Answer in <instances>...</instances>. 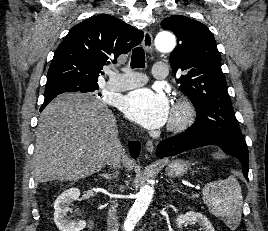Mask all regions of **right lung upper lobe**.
<instances>
[{
  "instance_id": "obj_1",
  "label": "right lung upper lobe",
  "mask_w": 268,
  "mask_h": 231,
  "mask_svg": "<svg viewBox=\"0 0 268 231\" xmlns=\"http://www.w3.org/2000/svg\"><path fill=\"white\" fill-rule=\"evenodd\" d=\"M143 39V32L121 19L102 14L72 27L54 53L47 84L74 82L98 85L104 65L116 62ZM52 99L45 98L42 106Z\"/></svg>"
}]
</instances>
